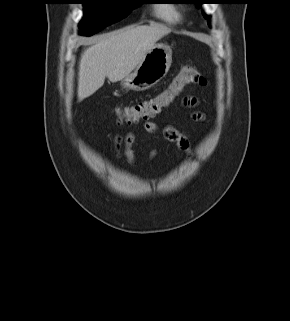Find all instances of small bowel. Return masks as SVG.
<instances>
[{"label": "small bowel", "mask_w": 290, "mask_h": 321, "mask_svg": "<svg viewBox=\"0 0 290 321\" xmlns=\"http://www.w3.org/2000/svg\"><path fill=\"white\" fill-rule=\"evenodd\" d=\"M183 105L188 109L192 110L191 116L194 120H201L203 118V114L196 110L198 106V100L195 97H186L183 100ZM144 128L147 132L156 134L159 132V127L155 122L147 121L144 124ZM163 136L174 143L178 148L183 151H188L190 148V143L188 138L175 129L173 126H166L162 130ZM135 140V136L132 133H128L124 136L116 135L114 138L115 147L118 152H121L129 161H134V152H133V143ZM155 152L151 153V156H154Z\"/></svg>", "instance_id": "obj_1"}]
</instances>
